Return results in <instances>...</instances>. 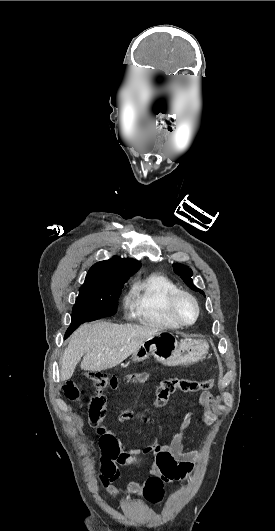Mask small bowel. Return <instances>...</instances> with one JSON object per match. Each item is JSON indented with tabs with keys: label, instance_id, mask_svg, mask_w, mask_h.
<instances>
[{
	"label": "small bowel",
	"instance_id": "c3829d8e",
	"mask_svg": "<svg viewBox=\"0 0 275 531\" xmlns=\"http://www.w3.org/2000/svg\"><path fill=\"white\" fill-rule=\"evenodd\" d=\"M149 374L150 371L148 369H145L143 374L130 373L127 377L124 374H112L109 377V381L112 390L118 392L127 388V385L124 383L126 380L130 384L147 383L149 381ZM213 401L214 398L210 393H202L198 399V404L201 408L200 413L195 417H186L179 425L169 444H159L157 435H155L146 447L133 448L124 451L120 464L147 466L149 471H158L160 476L164 477L167 481L187 478L193 470L194 462L199 459L201 450L199 448L188 451L184 450L185 436L195 424L211 425L216 421V417L212 410ZM133 417L134 414L129 412L124 414L123 419L130 420ZM99 445L101 450L106 449L110 445H117L120 448H123L121 440L115 434L103 428L99 430ZM149 454L153 455L152 461H148L145 458V456ZM113 478L107 479L102 477L100 481L106 490L108 497L113 502L122 504L123 501L120 498L118 489L109 485V480H112ZM144 484L145 482L142 480L132 481L123 486L122 490L126 493L138 496L141 494Z\"/></svg>",
	"mask_w": 275,
	"mask_h": 531
}]
</instances>
